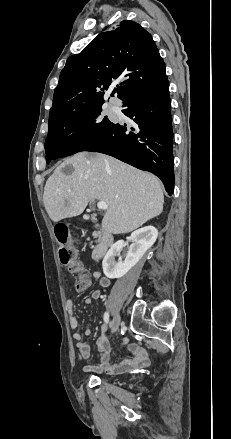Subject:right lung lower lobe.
I'll return each mask as SVG.
<instances>
[{
  "label": "right lung lower lobe",
  "mask_w": 231,
  "mask_h": 439,
  "mask_svg": "<svg viewBox=\"0 0 231 439\" xmlns=\"http://www.w3.org/2000/svg\"><path fill=\"white\" fill-rule=\"evenodd\" d=\"M122 107L131 125L115 124L86 151L104 153L155 174L172 195L173 130L167 78L136 92Z\"/></svg>",
  "instance_id": "right-lung-lower-lobe-1"
}]
</instances>
